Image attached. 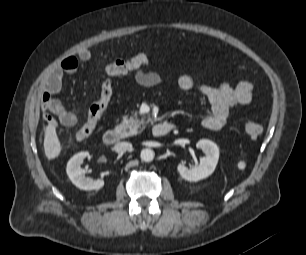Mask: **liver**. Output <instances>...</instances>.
Wrapping results in <instances>:
<instances>
[{
	"mask_svg": "<svg viewBox=\"0 0 306 255\" xmlns=\"http://www.w3.org/2000/svg\"><path fill=\"white\" fill-rule=\"evenodd\" d=\"M62 150L60 140L56 133V122H49L45 129L44 151L49 160L57 158Z\"/></svg>",
	"mask_w": 306,
	"mask_h": 255,
	"instance_id": "obj_1",
	"label": "liver"
}]
</instances>
